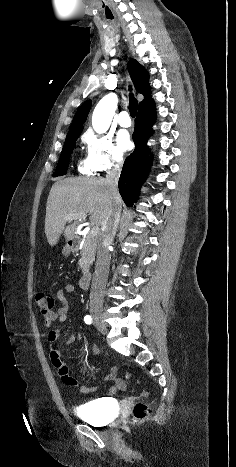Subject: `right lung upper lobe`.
<instances>
[{
    "instance_id": "right-lung-upper-lobe-1",
    "label": "right lung upper lobe",
    "mask_w": 236,
    "mask_h": 467,
    "mask_svg": "<svg viewBox=\"0 0 236 467\" xmlns=\"http://www.w3.org/2000/svg\"><path fill=\"white\" fill-rule=\"evenodd\" d=\"M128 68L136 90L144 95V100L140 102L139 108L149 105L153 100L150 95L149 75L144 67L135 59L128 62ZM91 101L85 102L76 112L67 135L81 133L83 124L89 113Z\"/></svg>"
}]
</instances>
